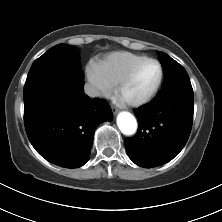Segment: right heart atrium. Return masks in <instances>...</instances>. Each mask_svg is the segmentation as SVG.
<instances>
[{
  "instance_id": "d8ad5b80",
  "label": "right heart atrium",
  "mask_w": 222,
  "mask_h": 222,
  "mask_svg": "<svg viewBox=\"0 0 222 222\" xmlns=\"http://www.w3.org/2000/svg\"><path fill=\"white\" fill-rule=\"evenodd\" d=\"M86 72L88 80L93 86L94 96L98 98L110 97L113 92V86L101 76L98 65L89 63Z\"/></svg>"
}]
</instances>
